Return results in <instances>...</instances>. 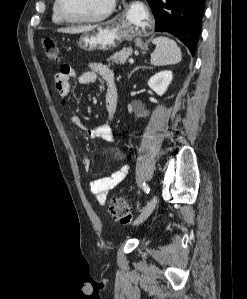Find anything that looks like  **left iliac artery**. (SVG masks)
<instances>
[{
    "mask_svg": "<svg viewBox=\"0 0 247 299\" xmlns=\"http://www.w3.org/2000/svg\"><path fill=\"white\" fill-rule=\"evenodd\" d=\"M143 190H144L146 193H149V192H150V188H149V186H148L146 183H143Z\"/></svg>",
    "mask_w": 247,
    "mask_h": 299,
    "instance_id": "1",
    "label": "left iliac artery"
}]
</instances>
